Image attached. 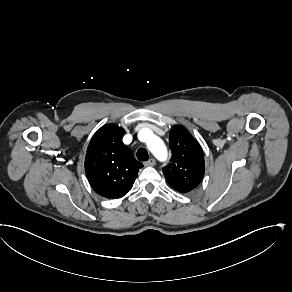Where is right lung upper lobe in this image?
Returning a JSON list of instances; mask_svg holds the SVG:
<instances>
[{
	"instance_id": "1",
	"label": "right lung upper lobe",
	"mask_w": 292,
	"mask_h": 292,
	"mask_svg": "<svg viewBox=\"0 0 292 292\" xmlns=\"http://www.w3.org/2000/svg\"><path fill=\"white\" fill-rule=\"evenodd\" d=\"M124 132L121 127L106 124L94 134L87 148V179L95 192L105 198H121L127 194L143 167L123 144Z\"/></svg>"
}]
</instances>
